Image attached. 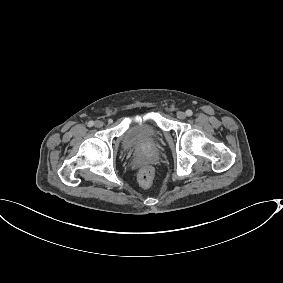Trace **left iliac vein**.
<instances>
[{"label": "left iliac vein", "instance_id": "obj_1", "mask_svg": "<svg viewBox=\"0 0 283 283\" xmlns=\"http://www.w3.org/2000/svg\"><path fill=\"white\" fill-rule=\"evenodd\" d=\"M177 118L180 119V120L185 119L186 118V113L182 112V111L177 112Z\"/></svg>", "mask_w": 283, "mask_h": 283}]
</instances>
